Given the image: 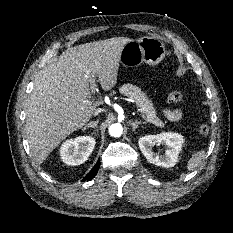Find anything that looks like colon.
Returning a JSON list of instances; mask_svg holds the SVG:
<instances>
[{"instance_id":"obj_1","label":"colon","mask_w":233,"mask_h":233,"mask_svg":"<svg viewBox=\"0 0 233 233\" xmlns=\"http://www.w3.org/2000/svg\"><path fill=\"white\" fill-rule=\"evenodd\" d=\"M167 101L172 104H179L184 109H188L191 105V99L182 91L172 89L167 94ZM198 131L201 135H208L210 133V126L207 121H202L198 126Z\"/></svg>"}]
</instances>
